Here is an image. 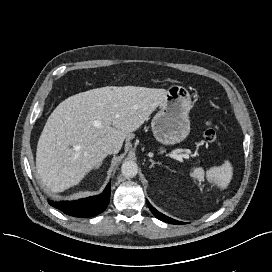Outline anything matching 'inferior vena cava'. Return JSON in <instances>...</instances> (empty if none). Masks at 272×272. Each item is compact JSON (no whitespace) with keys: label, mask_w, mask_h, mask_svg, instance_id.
Returning a JSON list of instances; mask_svg holds the SVG:
<instances>
[{"label":"inferior vena cava","mask_w":272,"mask_h":272,"mask_svg":"<svg viewBox=\"0 0 272 272\" xmlns=\"http://www.w3.org/2000/svg\"><path fill=\"white\" fill-rule=\"evenodd\" d=\"M102 149L106 154H112L118 151L117 146L111 142L104 143Z\"/></svg>","instance_id":"1"}]
</instances>
